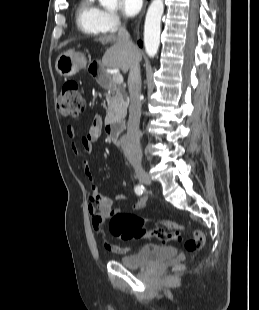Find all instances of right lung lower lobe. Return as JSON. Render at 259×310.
<instances>
[{
    "mask_svg": "<svg viewBox=\"0 0 259 310\" xmlns=\"http://www.w3.org/2000/svg\"><path fill=\"white\" fill-rule=\"evenodd\" d=\"M138 43H139V46H142V42L141 41H139Z\"/></svg>",
    "mask_w": 259,
    "mask_h": 310,
    "instance_id": "1",
    "label": "right lung lower lobe"
}]
</instances>
